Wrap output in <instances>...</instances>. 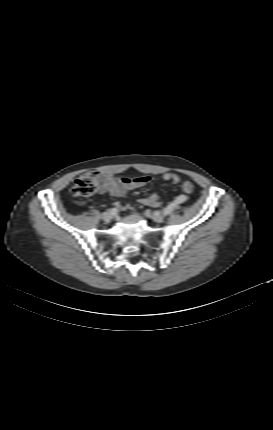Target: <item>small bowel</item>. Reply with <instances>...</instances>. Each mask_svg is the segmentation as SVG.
<instances>
[{"label":"small bowel","mask_w":273,"mask_h":430,"mask_svg":"<svg viewBox=\"0 0 273 430\" xmlns=\"http://www.w3.org/2000/svg\"><path fill=\"white\" fill-rule=\"evenodd\" d=\"M95 175L99 181L98 192L99 193L108 192L109 194L115 197H125L130 192L139 188H143L152 182V177L150 176H139L134 178H129V177L116 178L104 172H97L95 173ZM162 178L174 185L180 182L179 175L174 172H166L162 175ZM177 198L180 201V203L186 200L184 195H180ZM139 203L142 205L152 206L156 208L161 205V200L158 195L152 194L146 198L139 199ZM116 208L120 210H126L129 208V205L117 203Z\"/></svg>","instance_id":"1"}]
</instances>
